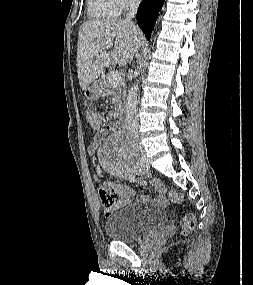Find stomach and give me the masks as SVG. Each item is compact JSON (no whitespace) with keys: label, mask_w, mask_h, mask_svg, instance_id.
Instances as JSON below:
<instances>
[{"label":"stomach","mask_w":253,"mask_h":285,"mask_svg":"<svg viewBox=\"0 0 253 285\" xmlns=\"http://www.w3.org/2000/svg\"><path fill=\"white\" fill-rule=\"evenodd\" d=\"M84 94L87 99H98L103 94L102 84L100 82H95L92 86L85 90Z\"/></svg>","instance_id":"stomach-1"}]
</instances>
